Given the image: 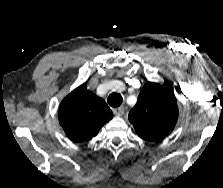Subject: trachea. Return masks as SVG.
I'll list each match as a JSON object with an SVG mask.
<instances>
[{"mask_svg": "<svg viewBox=\"0 0 223 188\" xmlns=\"http://www.w3.org/2000/svg\"><path fill=\"white\" fill-rule=\"evenodd\" d=\"M123 98L119 93H112L108 97V104L112 107H119L122 104Z\"/></svg>", "mask_w": 223, "mask_h": 188, "instance_id": "obj_1", "label": "trachea"}]
</instances>
